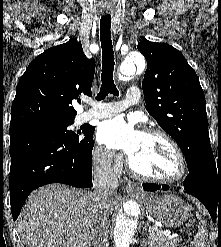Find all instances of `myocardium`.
I'll return each instance as SVG.
<instances>
[{
    "label": "myocardium",
    "mask_w": 221,
    "mask_h": 247,
    "mask_svg": "<svg viewBox=\"0 0 221 247\" xmlns=\"http://www.w3.org/2000/svg\"><path fill=\"white\" fill-rule=\"evenodd\" d=\"M143 133L147 134V135L159 136L171 145V147L174 149V151L176 152L177 157H178L179 173L176 176L171 177V178H160V177H155V176H151L148 174H144V173L138 171L134 167V165L131 161V158L128 157L127 165H128V168H129V171L131 172V174L133 176L141 179V180L159 183V184H176V183H179V182H182L183 180H185L186 177L188 176V172H189L188 162H187L186 156H185L182 148L177 143V141L170 134H168L166 131L161 130V129L149 128V129H146Z\"/></svg>",
    "instance_id": "1"
}]
</instances>
